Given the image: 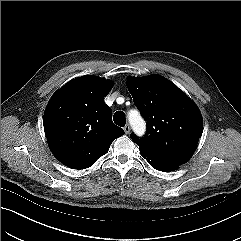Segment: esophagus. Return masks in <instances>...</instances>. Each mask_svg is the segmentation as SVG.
Listing matches in <instances>:
<instances>
[{"label":"esophagus","mask_w":241,"mask_h":241,"mask_svg":"<svg viewBox=\"0 0 241 241\" xmlns=\"http://www.w3.org/2000/svg\"><path fill=\"white\" fill-rule=\"evenodd\" d=\"M124 132L126 133V134H128L129 132H130V126L127 124V125H125L124 126Z\"/></svg>","instance_id":"1"}]
</instances>
